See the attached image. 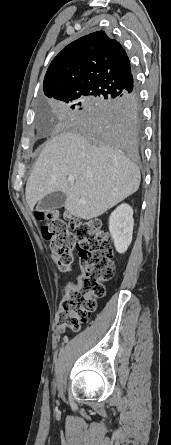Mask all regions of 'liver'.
<instances>
[{"mask_svg":"<svg viewBox=\"0 0 171 445\" xmlns=\"http://www.w3.org/2000/svg\"><path fill=\"white\" fill-rule=\"evenodd\" d=\"M140 179L139 167L109 144H92L81 134L63 131L43 148L25 194L32 211L46 195L61 191L66 195L67 212L90 220L135 193Z\"/></svg>","mask_w":171,"mask_h":445,"instance_id":"6515ba94","label":"liver"}]
</instances>
